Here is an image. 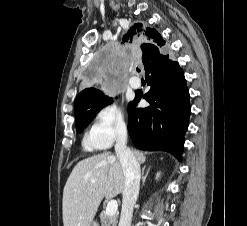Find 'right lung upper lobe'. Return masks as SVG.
Wrapping results in <instances>:
<instances>
[{"instance_id": "right-lung-upper-lobe-1", "label": "right lung upper lobe", "mask_w": 247, "mask_h": 226, "mask_svg": "<svg viewBox=\"0 0 247 226\" xmlns=\"http://www.w3.org/2000/svg\"><path fill=\"white\" fill-rule=\"evenodd\" d=\"M122 40L123 43H135L141 45L143 51V62L146 59L149 50L165 46V40L162 38L161 34L157 30L151 29L142 23L133 24L123 36ZM100 94L102 93L95 88H86L81 91L75 101V118L84 112V107L87 102Z\"/></svg>"}]
</instances>
